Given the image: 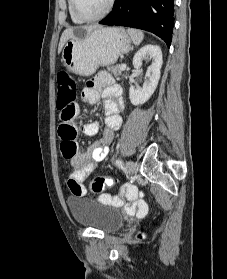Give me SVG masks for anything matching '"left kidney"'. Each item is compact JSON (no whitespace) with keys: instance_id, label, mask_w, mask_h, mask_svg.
<instances>
[{"instance_id":"1","label":"left kidney","mask_w":227,"mask_h":279,"mask_svg":"<svg viewBox=\"0 0 227 279\" xmlns=\"http://www.w3.org/2000/svg\"><path fill=\"white\" fill-rule=\"evenodd\" d=\"M147 58L152 59V64L147 68L143 87L140 89L131 86L129 89L130 101L135 106L144 104L149 100L160 79V69L162 66V51L160 47L158 45L149 44L137 51L133 58L134 68H141L143 60Z\"/></svg>"}]
</instances>
